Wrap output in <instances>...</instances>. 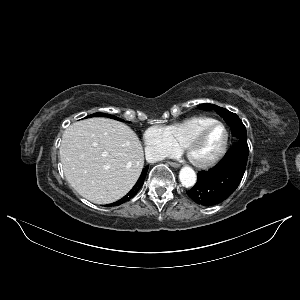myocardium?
<instances>
[{
  "mask_svg": "<svg viewBox=\"0 0 300 300\" xmlns=\"http://www.w3.org/2000/svg\"><path fill=\"white\" fill-rule=\"evenodd\" d=\"M215 126H220L224 129V140L219 152L213 158L207 161L194 160L192 157V152L194 148L198 146V144L204 139L207 133ZM228 144H229V130L227 126L221 121L214 120L213 122L201 128L188 140V142L184 146V152L186 154L187 159L193 166L199 169H207L215 166L224 158L228 149Z\"/></svg>",
  "mask_w": 300,
  "mask_h": 300,
  "instance_id": "f54148a6",
  "label": "myocardium"
}]
</instances>
